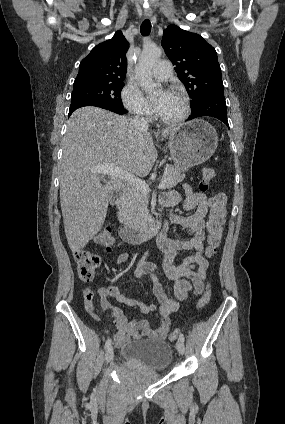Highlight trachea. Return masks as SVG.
I'll return each mask as SVG.
<instances>
[{"label": "trachea", "instance_id": "1", "mask_svg": "<svg viewBox=\"0 0 285 424\" xmlns=\"http://www.w3.org/2000/svg\"><path fill=\"white\" fill-rule=\"evenodd\" d=\"M140 32L143 36H147L151 32V23L148 19L144 20L140 27Z\"/></svg>", "mask_w": 285, "mask_h": 424}]
</instances>
